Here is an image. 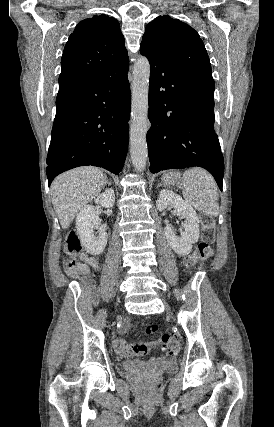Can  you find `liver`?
Returning <instances> with one entry per match:
<instances>
[{"instance_id": "obj_1", "label": "liver", "mask_w": 274, "mask_h": 427, "mask_svg": "<svg viewBox=\"0 0 274 427\" xmlns=\"http://www.w3.org/2000/svg\"><path fill=\"white\" fill-rule=\"evenodd\" d=\"M105 184V174L93 166L69 170L53 180L52 204L63 229L69 227L78 210L87 206L94 196H98Z\"/></svg>"}]
</instances>
